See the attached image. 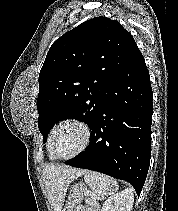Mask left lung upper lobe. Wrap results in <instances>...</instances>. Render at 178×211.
Wrapping results in <instances>:
<instances>
[{
    "label": "left lung upper lobe",
    "mask_w": 178,
    "mask_h": 211,
    "mask_svg": "<svg viewBox=\"0 0 178 211\" xmlns=\"http://www.w3.org/2000/svg\"><path fill=\"white\" fill-rule=\"evenodd\" d=\"M136 48L132 35L106 17L86 21L52 44L39 74L38 127L44 142L63 119L93 127L110 84Z\"/></svg>",
    "instance_id": "left-lung-upper-lobe-1"
}]
</instances>
